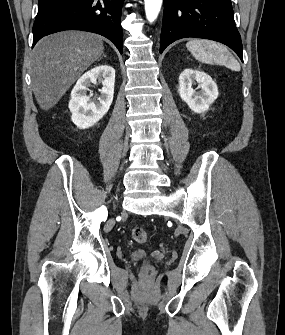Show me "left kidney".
<instances>
[{
	"instance_id": "1",
	"label": "left kidney",
	"mask_w": 285,
	"mask_h": 335,
	"mask_svg": "<svg viewBox=\"0 0 285 335\" xmlns=\"http://www.w3.org/2000/svg\"><path fill=\"white\" fill-rule=\"evenodd\" d=\"M196 82L199 84L197 90L200 88V92L193 90ZM218 94L217 84L205 72L187 68L179 76V96L195 114L206 112L218 98Z\"/></svg>"
}]
</instances>
